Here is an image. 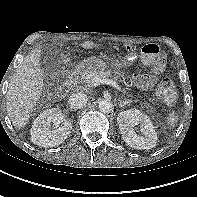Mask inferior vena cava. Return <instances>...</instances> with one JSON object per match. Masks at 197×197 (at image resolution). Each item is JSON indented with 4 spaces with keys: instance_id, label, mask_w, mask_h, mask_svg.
<instances>
[{
    "instance_id": "1",
    "label": "inferior vena cava",
    "mask_w": 197,
    "mask_h": 197,
    "mask_svg": "<svg viewBox=\"0 0 197 197\" xmlns=\"http://www.w3.org/2000/svg\"><path fill=\"white\" fill-rule=\"evenodd\" d=\"M87 101V95L79 92L72 94L69 98L68 103L72 109H81L86 105Z\"/></svg>"
}]
</instances>
